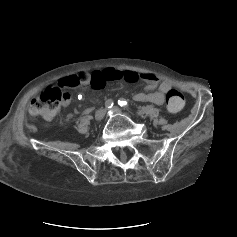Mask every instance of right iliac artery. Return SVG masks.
Instances as JSON below:
<instances>
[{
	"label": "right iliac artery",
	"instance_id": "1",
	"mask_svg": "<svg viewBox=\"0 0 237 237\" xmlns=\"http://www.w3.org/2000/svg\"><path fill=\"white\" fill-rule=\"evenodd\" d=\"M113 100H111V99H108L106 102H105V107L107 108V109H110L112 106H113Z\"/></svg>",
	"mask_w": 237,
	"mask_h": 237
}]
</instances>
